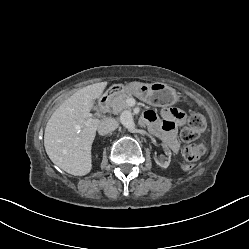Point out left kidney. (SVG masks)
<instances>
[{
	"label": "left kidney",
	"instance_id": "1",
	"mask_svg": "<svg viewBox=\"0 0 249 249\" xmlns=\"http://www.w3.org/2000/svg\"><path fill=\"white\" fill-rule=\"evenodd\" d=\"M170 151L167 148H162L158 154V158H154L157 165L162 168H167L171 161Z\"/></svg>",
	"mask_w": 249,
	"mask_h": 249
}]
</instances>
